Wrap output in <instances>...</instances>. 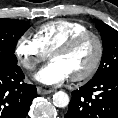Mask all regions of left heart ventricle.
Wrapping results in <instances>:
<instances>
[{
	"mask_svg": "<svg viewBox=\"0 0 118 118\" xmlns=\"http://www.w3.org/2000/svg\"><path fill=\"white\" fill-rule=\"evenodd\" d=\"M96 55V45L92 39H87L68 53L55 54L51 57L53 62L60 63L74 76L84 73L92 64Z\"/></svg>",
	"mask_w": 118,
	"mask_h": 118,
	"instance_id": "left-heart-ventricle-1",
	"label": "left heart ventricle"
}]
</instances>
